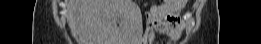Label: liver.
<instances>
[{
    "instance_id": "obj_1",
    "label": "liver",
    "mask_w": 261,
    "mask_h": 44,
    "mask_svg": "<svg viewBox=\"0 0 261 44\" xmlns=\"http://www.w3.org/2000/svg\"><path fill=\"white\" fill-rule=\"evenodd\" d=\"M78 19L79 44H138L144 25L132 0H70Z\"/></svg>"
}]
</instances>
